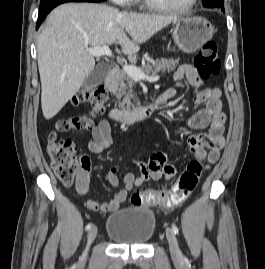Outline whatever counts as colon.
Segmentation results:
<instances>
[{
    "label": "colon",
    "instance_id": "colon-1",
    "mask_svg": "<svg viewBox=\"0 0 265 269\" xmlns=\"http://www.w3.org/2000/svg\"><path fill=\"white\" fill-rule=\"evenodd\" d=\"M194 63L203 78L208 79L219 74L221 63L216 43L213 41L205 42L196 55ZM106 98L107 90L103 85L79 93L75 98V104L85 105L89 113L58 121L48 136L47 152L51 166L59 181L66 186L72 185L77 180L82 167V158L80 159L76 155L75 147L70 140L58 141V134L72 130L89 129L92 123L91 117L104 111ZM203 167L204 163L201 159H193L169 190H138L131 196V203L134 206L170 207L178 205L184 202L197 187Z\"/></svg>",
    "mask_w": 265,
    "mask_h": 269
}]
</instances>
